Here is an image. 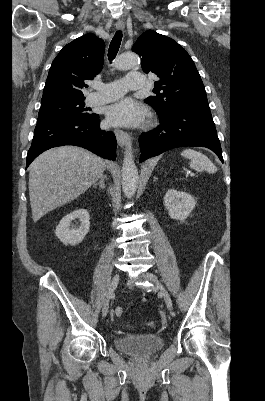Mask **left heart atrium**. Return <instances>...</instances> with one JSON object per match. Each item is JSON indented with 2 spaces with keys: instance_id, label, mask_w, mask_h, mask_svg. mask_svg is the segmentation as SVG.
<instances>
[{
  "instance_id": "39dd6f15",
  "label": "left heart atrium",
  "mask_w": 265,
  "mask_h": 401,
  "mask_svg": "<svg viewBox=\"0 0 265 401\" xmlns=\"http://www.w3.org/2000/svg\"><path fill=\"white\" fill-rule=\"evenodd\" d=\"M143 108L130 98L122 99L107 108L106 118L111 125H135L142 121Z\"/></svg>"
}]
</instances>
